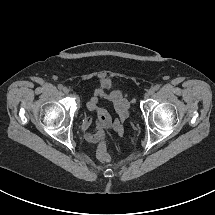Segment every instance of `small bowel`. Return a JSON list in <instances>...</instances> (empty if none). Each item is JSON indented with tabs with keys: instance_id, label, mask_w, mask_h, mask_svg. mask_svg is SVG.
Instances as JSON below:
<instances>
[{
	"instance_id": "c3829d8e",
	"label": "small bowel",
	"mask_w": 215,
	"mask_h": 215,
	"mask_svg": "<svg viewBox=\"0 0 215 215\" xmlns=\"http://www.w3.org/2000/svg\"><path fill=\"white\" fill-rule=\"evenodd\" d=\"M102 100L113 103L121 123L125 121L128 115L129 102L123 93L119 91L107 93L103 89L96 90L94 96L87 103L88 109L96 114V119L88 117L82 123L85 138L90 143H97L102 139V129L109 120L108 111L100 105ZM117 130L119 134L123 132L122 124H118Z\"/></svg>"
}]
</instances>
